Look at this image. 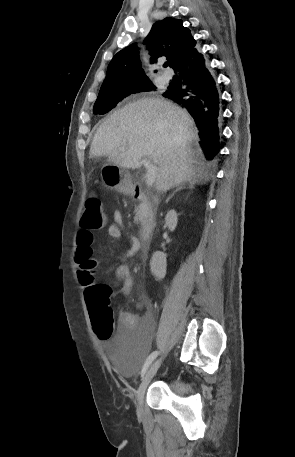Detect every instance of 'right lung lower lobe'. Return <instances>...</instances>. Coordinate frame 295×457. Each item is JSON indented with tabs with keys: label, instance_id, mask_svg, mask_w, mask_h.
<instances>
[{
	"label": "right lung lower lobe",
	"instance_id": "1",
	"mask_svg": "<svg viewBox=\"0 0 295 457\" xmlns=\"http://www.w3.org/2000/svg\"><path fill=\"white\" fill-rule=\"evenodd\" d=\"M180 82L163 96L185 107L200 130V144L208 160L219 152V94L201 53L193 48L173 66Z\"/></svg>",
	"mask_w": 295,
	"mask_h": 457
}]
</instances>
